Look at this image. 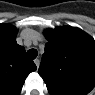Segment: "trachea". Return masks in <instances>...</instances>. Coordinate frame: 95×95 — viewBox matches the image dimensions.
<instances>
[{"instance_id":"obj_1","label":"trachea","mask_w":95,"mask_h":95,"mask_svg":"<svg viewBox=\"0 0 95 95\" xmlns=\"http://www.w3.org/2000/svg\"><path fill=\"white\" fill-rule=\"evenodd\" d=\"M38 55V51L36 49H29L27 51V56L30 58V59H35Z\"/></svg>"}]
</instances>
